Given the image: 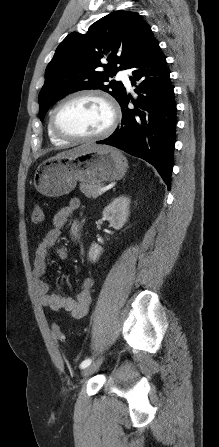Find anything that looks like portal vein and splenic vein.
<instances>
[{"label":"portal vein and splenic vein","instance_id":"obj_1","mask_svg":"<svg viewBox=\"0 0 219 447\" xmlns=\"http://www.w3.org/2000/svg\"><path fill=\"white\" fill-rule=\"evenodd\" d=\"M97 191H98L99 193H102V192L106 191V187H101V188H99Z\"/></svg>","mask_w":219,"mask_h":447}]
</instances>
